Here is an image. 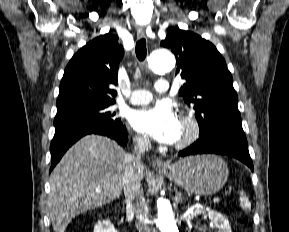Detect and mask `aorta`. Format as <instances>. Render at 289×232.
Returning <instances> with one entry per match:
<instances>
[{
  "instance_id": "obj_1",
  "label": "aorta",
  "mask_w": 289,
  "mask_h": 232,
  "mask_svg": "<svg viewBox=\"0 0 289 232\" xmlns=\"http://www.w3.org/2000/svg\"><path fill=\"white\" fill-rule=\"evenodd\" d=\"M174 56L165 49L154 50L148 57L149 68L157 73L170 72L175 67ZM157 226L160 232H179L170 202L160 198L157 201Z\"/></svg>"
}]
</instances>
